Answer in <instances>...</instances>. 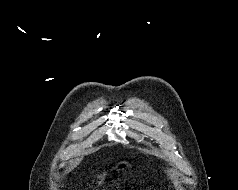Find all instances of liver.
Listing matches in <instances>:
<instances>
[{
  "label": "liver",
  "instance_id": "1",
  "mask_svg": "<svg viewBox=\"0 0 238 190\" xmlns=\"http://www.w3.org/2000/svg\"><path fill=\"white\" fill-rule=\"evenodd\" d=\"M105 176H106V174L104 173V174H103V176H102L101 178H102V179H104V178H105ZM99 184H101V182H100Z\"/></svg>",
  "mask_w": 238,
  "mask_h": 190
}]
</instances>
